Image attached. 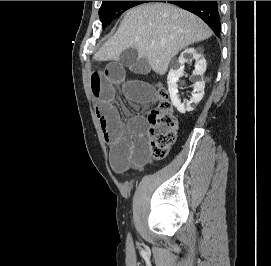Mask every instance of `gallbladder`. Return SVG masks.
Listing matches in <instances>:
<instances>
[{"label":"gallbladder","mask_w":271,"mask_h":266,"mask_svg":"<svg viewBox=\"0 0 271 266\" xmlns=\"http://www.w3.org/2000/svg\"><path fill=\"white\" fill-rule=\"evenodd\" d=\"M119 61L134 74L147 75L151 70L148 59L146 57L139 58L137 50L134 48L124 50Z\"/></svg>","instance_id":"gallbladder-1"}]
</instances>
